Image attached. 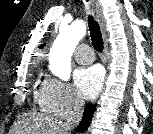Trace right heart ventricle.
Here are the masks:
<instances>
[{
	"instance_id": "obj_1",
	"label": "right heart ventricle",
	"mask_w": 153,
	"mask_h": 134,
	"mask_svg": "<svg viewBox=\"0 0 153 134\" xmlns=\"http://www.w3.org/2000/svg\"><path fill=\"white\" fill-rule=\"evenodd\" d=\"M42 92H43V83L42 84H36L35 86V98L40 102L42 98Z\"/></svg>"
}]
</instances>
